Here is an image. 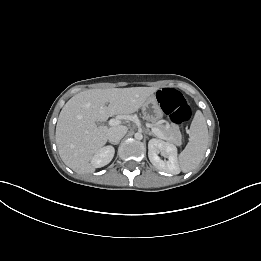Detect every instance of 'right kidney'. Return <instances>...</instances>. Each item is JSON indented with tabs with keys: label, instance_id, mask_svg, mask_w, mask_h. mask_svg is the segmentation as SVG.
Listing matches in <instances>:
<instances>
[{
	"label": "right kidney",
	"instance_id": "1",
	"mask_svg": "<svg viewBox=\"0 0 261 261\" xmlns=\"http://www.w3.org/2000/svg\"><path fill=\"white\" fill-rule=\"evenodd\" d=\"M115 150L112 146H106L99 149L91 159V164L95 168H100L111 162Z\"/></svg>",
	"mask_w": 261,
	"mask_h": 261
}]
</instances>
